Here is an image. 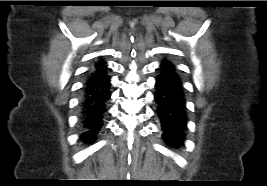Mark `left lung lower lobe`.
<instances>
[{
    "instance_id": "0a47b994",
    "label": "left lung lower lobe",
    "mask_w": 267,
    "mask_h": 186,
    "mask_svg": "<svg viewBox=\"0 0 267 186\" xmlns=\"http://www.w3.org/2000/svg\"><path fill=\"white\" fill-rule=\"evenodd\" d=\"M155 87L156 113L161 122L162 137L171 145H181L187 125L186 101L176 68L167 60L161 62Z\"/></svg>"
}]
</instances>
